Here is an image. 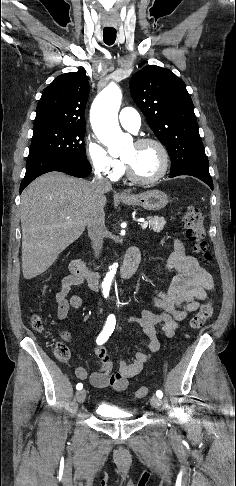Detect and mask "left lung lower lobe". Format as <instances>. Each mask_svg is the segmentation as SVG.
<instances>
[{"instance_id":"1","label":"left lung lower lobe","mask_w":236,"mask_h":486,"mask_svg":"<svg viewBox=\"0 0 236 486\" xmlns=\"http://www.w3.org/2000/svg\"><path fill=\"white\" fill-rule=\"evenodd\" d=\"M179 175L194 176V177L202 180L203 182H205L213 190V182H212L210 174H204V173H200V172H197V171H183V172H179V173L170 174L169 177H175V176H179Z\"/></svg>"}]
</instances>
